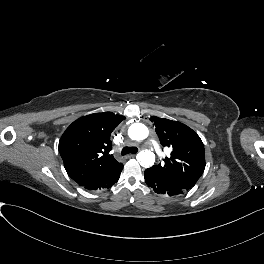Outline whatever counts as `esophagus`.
Returning a JSON list of instances; mask_svg holds the SVG:
<instances>
[{
  "label": "esophagus",
  "instance_id": "esophagus-1",
  "mask_svg": "<svg viewBox=\"0 0 264 264\" xmlns=\"http://www.w3.org/2000/svg\"><path fill=\"white\" fill-rule=\"evenodd\" d=\"M136 155H129L128 158H135Z\"/></svg>",
  "mask_w": 264,
  "mask_h": 264
}]
</instances>
